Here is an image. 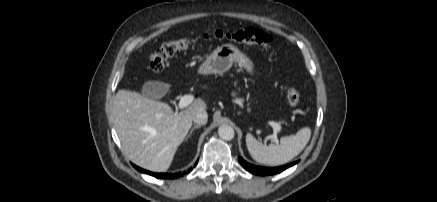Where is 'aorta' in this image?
<instances>
[{
    "label": "aorta",
    "mask_w": 437,
    "mask_h": 202,
    "mask_svg": "<svg viewBox=\"0 0 437 202\" xmlns=\"http://www.w3.org/2000/svg\"><path fill=\"white\" fill-rule=\"evenodd\" d=\"M218 135L221 139L230 141L234 138L235 132L230 125H221L218 129Z\"/></svg>",
    "instance_id": "1"
}]
</instances>
